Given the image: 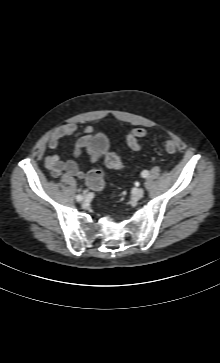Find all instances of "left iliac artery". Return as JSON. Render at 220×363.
Instances as JSON below:
<instances>
[{"label": "left iliac artery", "mask_w": 220, "mask_h": 363, "mask_svg": "<svg viewBox=\"0 0 220 363\" xmlns=\"http://www.w3.org/2000/svg\"><path fill=\"white\" fill-rule=\"evenodd\" d=\"M141 176L143 178H147L149 176V172L147 170L142 171Z\"/></svg>", "instance_id": "44dca946"}]
</instances>
